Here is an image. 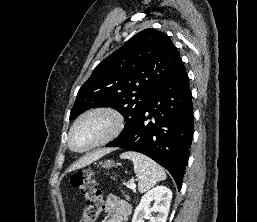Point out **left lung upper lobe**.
Returning <instances> with one entry per match:
<instances>
[{"label": "left lung upper lobe", "instance_id": "5c2ea615", "mask_svg": "<svg viewBox=\"0 0 257 222\" xmlns=\"http://www.w3.org/2000/svg\"><path fill=\"white\" fill-rule=\"evenodd\" d=\"M181 62L165 33L156 29L137 33L95 67L79 89L70 120L92 107L110 106L124 116V131Z\"/></svg>", "mask_w": 257, "mask_h": 222}]
</instances>
